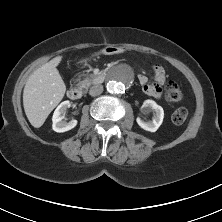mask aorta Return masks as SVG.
I'll list each match as a JSON object with an SVG mask.
<instances>
[{
	"mask_svg": "<svg viewBox=\"0 0 222 222\" xmlns=\"http://www.w3.org/2000/svg\"><path fill=\"white\" fill-rule=\"evenodd\" d=\"M132 75L125 68H119L109 77L106 88L111 94H122L132 83Z\"/></svg>",
	"mask_w": 222,
	"mask_h": 222,
	"instance_id": "1",
	"label": "aorta"
}]
</instances>
